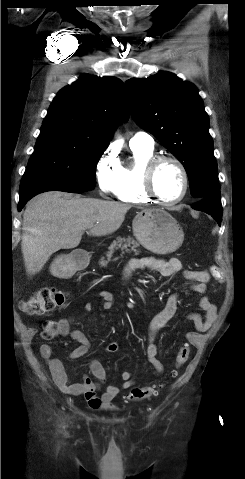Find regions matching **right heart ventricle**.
Listing matches in <instances>:
<instances>
[{
    "label": "right heart ventricle",
    "instance_id": "e07e8e85",
    "mask_svg": "<svg viewBox=\"0 0 245 479\" xmlns=\"http://www.w3.org/2000/svg\"><path fill=\"white\" fill-rule=\"evenodd\" d=\"M133 161L127 166H121L116 196L122 202L147 203L152 199L143 189V170L146 163L155 156L153 148L130 145Z\"/></svg>",
    "mask_w": 245,
    "mask_h": 479
}]
</instances>
